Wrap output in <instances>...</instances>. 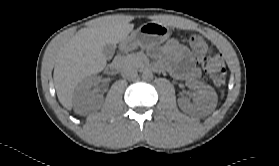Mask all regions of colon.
Wrapping results in <instances>:
<instances>
[{"instance_id":"5ec220e1","label":"colon","mask_w":279,"mask_h":166,"mask_svg":"<svg viewBox=\"0 0 279 166\" xmlns=\"http://www.w3.org/2000/svg\"><path fill=\"white\" fill-rule=\"evenodd\" d=\"M189 43L212 82L217 86H222L226 79V68L222 58L219 55L206 56L208 48L205 40L199 35H191Z\"/></svg>"}]
</instances>
